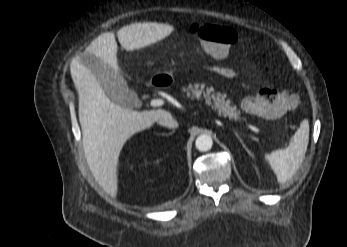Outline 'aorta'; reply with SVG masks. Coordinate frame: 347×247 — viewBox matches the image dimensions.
I'll return each mask as SVG.
<instances>
[{"label": "aorta", "mask_w": 347, "mask_h": 247, "mask_svg": "<svg viewBox=\"0 0 347 247\" xmlns=\"http://www.w3.org/2000/svg\"><path fill=\"white\" fill-rule=\"evenodd\" d=\"M213 141L209 135L203 134L197 137L195 146L201 152L209 151L212 148Z\"/></svg>", "instance_id": "aorta-1"}]
</instances>
